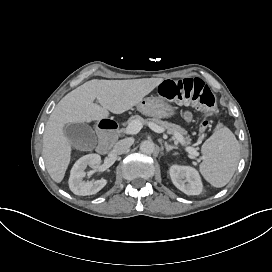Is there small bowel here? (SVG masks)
Masks as SVG:
<instances>
[{"instance_id":"c3829d8e","label":"small bowel","mask_w":272,"mask_h":272,"mask_svg":"<svg viewBox=\"0 0 272 272\" xmlns=\"http://www.w3.org/2000/svg\"><path fill=\"white\" fill-rule=\"evenodd\" d=\"M190 118H191L190 112L186 111V112L184 113V119H185V120H189Z\"/></svg>"}]
</instances>
